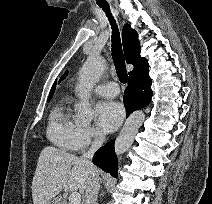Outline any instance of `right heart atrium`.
I'll return each mask as SVG.
<instances>
[{"label":"right heart atrium","instance_id":"obj_1","mask_svg":"<svg viewBox=\"0 0 212 204\" xmlns=\"http://www.w3.org/2000/svg\"><path fill=\"white\" fill-rule=\"evenodd\" d=\"M101 136L99 132L91 126H80L75 139V149L84 150L92 144L97 143Z\"/></svg>","mask_w":212,"mask_h":204}]
</instances>
